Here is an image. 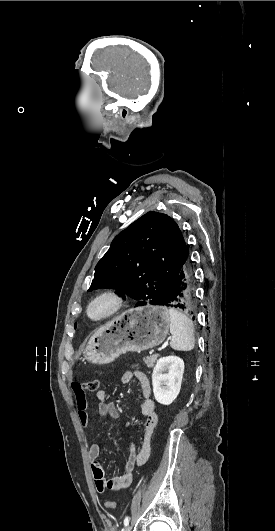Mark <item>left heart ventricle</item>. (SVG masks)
<instances>
[{
	"instance_id": "b2bd125f",
	"label": "left heart ventricle",
	"mask_w": 275,
	"mask_h": 531,
	"mask_svg": "<svg viewBox=\"0 0 275 531\" xmlns=\"http://www.w3.org/2000/svg\"><path fill=\"white\" fill-rule=\"evenodd\" d=\"M102 310V307H97L96 312H100Z\"/></svg>"
}]
</instances>
